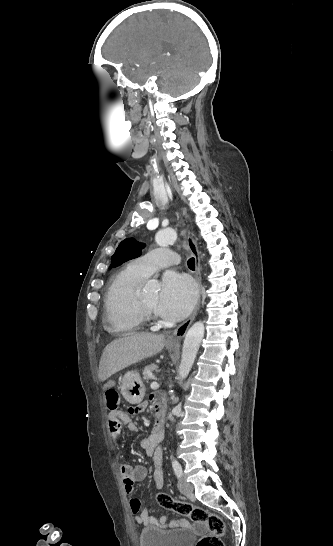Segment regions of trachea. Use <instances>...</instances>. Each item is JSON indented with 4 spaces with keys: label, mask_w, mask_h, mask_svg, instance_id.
<instances>
[{
    "label": "trachea",
    "mask_w": 333,
    "mask_h": 546,
    "mask_svg": "<svg viewBox=\"0 0 333 546\" xmlns=\"http://www.w3.org/2000/svg\"><path fill=\"white\" fill-rule=\"evenodd\" d=\"M187 264H188L189 269H191L193 271L195 270V259L194 258H190L188 260Z\"/></svg>",
    "instance_id": "3493384b"
}]
</instances>
